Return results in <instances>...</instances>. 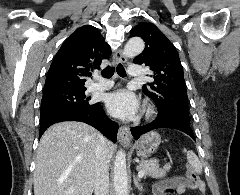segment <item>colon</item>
<instances>
[{
    "label": "colon",
    "mask_w": 240,
    "mask_h": 195,
    "mask_svg": "<svg viewBox=\"0 0 240 195\" xmlns=\"http://www.w3.org/2000/svg\"><path fill=\"white\" fill-rule=\"evenodd\" d=\"M189 163V162H188ZM186 176L190 177L193 180V184L197 185V187H202V180H198V173L195 172L194 169H191V166H186Z\"/></svg>",
    "instance_id": "1"
}]
</instances>
